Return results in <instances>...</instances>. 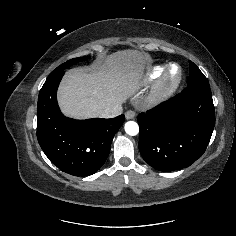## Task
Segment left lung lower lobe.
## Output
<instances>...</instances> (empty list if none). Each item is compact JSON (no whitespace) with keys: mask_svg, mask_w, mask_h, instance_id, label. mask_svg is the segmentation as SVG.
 <instances>
[{"mask_svg":"<svg viewBox=\"0 0 236 236\" xmlns=\"http://www.w3.org/2000/svg\"><path fill=\"white\" fill-rule=\"evenodd\" d=\"M139 150L159 171L190 166L205 152L214 125L215 110L209 83L187 86L155 108L140 113Z\"/></svg>","mask_w":236,"mask_h":236,"instance_id":"left-lung-lower-lobe-1","label":"left lung lower lobe"}]
</instances>
